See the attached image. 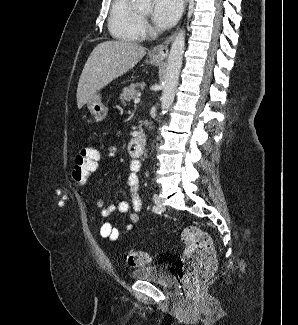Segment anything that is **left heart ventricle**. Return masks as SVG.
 <instances>
[{
    "label": "left heart ventricle",
    "mask_w": 298,
    "mask_h": 325,
    "mask_svg": "<svg viewBox=\"0 0 298 325\" xmlns=\"http://www.w3.org/2000/svg\"><path fill=\"white\" fill-rule=\"evenodd\" d=\"M139 5L143 12L147 14L150 13L152 7V3L150 1L141 0Z\"/></svg>",
    "instance_id": "1"
}]
</instances>
